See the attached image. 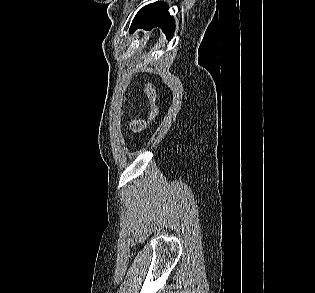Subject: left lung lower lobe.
I'll return each instance as SVG.
<instances>
[{
  "label": "left lung lower lobe",
  "mask_w": 315,
  "mask_h": 293,
  "mask_svg": "<svg viewBox=\"0 0 315 293\" xmlns=\"http://www.w3.org/2000/svg\"><path fill=\"white\" fill-rule=\"evenodd\" d=\"M157 26L161 27L168 39L173 36L175 22L168 12L167 5L162 2H155L141 8L132 21L130 32H134L137 28L151 30Z\"/></svg>",
  "instance_id": "0a47b994"
}]
</instances>
